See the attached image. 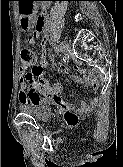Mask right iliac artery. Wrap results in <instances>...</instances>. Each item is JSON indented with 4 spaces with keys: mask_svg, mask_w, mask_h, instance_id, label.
I'll use <instances>...</instances> for the list:
<instances>
[{
    "mask_svg": "<svg viewBox=\"0 0 123 167\" xmlns=\"http://www.w3.org/2000/svg\"><path fill=\"white\" fill-rule=\"evenodd\" d=\"M54 50H55V52L58 53L60 51V46L59 45H55L54 46Z\"/></svg>",
    "mask_w": 123,
    "mask_h": 167,
    "instance_id": "obj_1",
    "label": "right iliac artery"
}]
</instances>
